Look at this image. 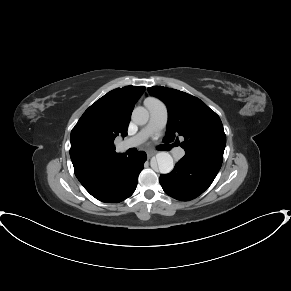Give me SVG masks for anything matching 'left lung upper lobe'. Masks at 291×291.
I'll return each mask as SVG.
<instances>
[{"label": "left lung upper lobe", "mask_w": 291, "mask_h": 291, "mask_svg": "<svg viewBox=\"0 0 291 291\" xmlns=\"http://www.w3.org/2000/svg\"><path fill=\"white\" fill-rule=\"evenodd\" d=\"M148 92L168 108L164 142H173L176 135H181L185 139L180 144L185 156L222 164L226 135L214 111L200 99L179 90L153 86ZM176 142L180 143L178 138Z\"/></svg>", "instance_id": "left-lung-upper-lobe-1"}]
</instances>
